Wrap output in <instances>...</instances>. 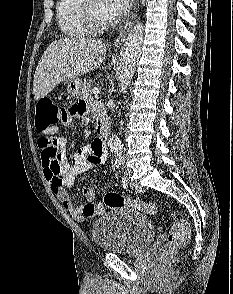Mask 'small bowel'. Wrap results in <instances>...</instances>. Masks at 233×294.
I'll list each match as a JSON object with an SVG mask.
<instances>
[{"label":"small bowel","instance_id":"1","mask_svg":"<svg viewBox=\"0 0 233 294\" xmlns=\"http://www.w3.org/2000/svg\"><path fill=\"white\" fill-rule=\"evenodd\" d=\"M97 106L98 104L93 101H79L76 104H71V108H60L59 119L63 120H55L54 128H65V126L72 125V122H78L80 116L96 113ZM60 134H66V129H59V132H43V137H57L49 146L39 144L43 172L53 193L63 207L75 220L83 221L96 215L85 212L87 205L95 204L93 202L95 190L92 187H83L82 194L85 196L86 202L79 206L72 201L70 190L78 175L106 161V147L97 139H94L90 144L83 146L72 155V152H66L67 138L60 136Z\"/></svg>","mask_w":233,"mask_h":294}]
</instances>
